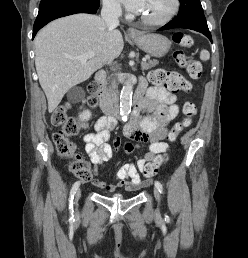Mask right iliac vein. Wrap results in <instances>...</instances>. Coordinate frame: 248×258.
<instances>
[{"label":"right iliac vein","mask_w":248,"mask_h":258,"mask_svg":"<svg viewBox=\"0 0 248 258\" xmlns=\"http://www.w3.org/2000/svg\"><path fill=\"white\" fill-rule=\"evenodd\" d=\"M81 197V189H77L75 193V202L77 203Z\"/></svg>","instance_id":"obj_1"}]
</instances>
